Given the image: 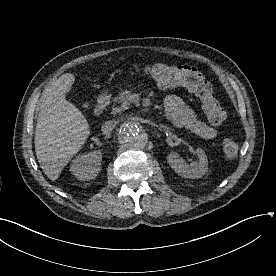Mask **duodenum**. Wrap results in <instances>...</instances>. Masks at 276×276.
<instances>
[{
    "instance_id": "obj_1",
    "label": "duodenum",
    "mask_w": 276,
    "mask_h": 276,
    "mask_svg": "<svg viewBox=\"0 0 276 276\" xmlns=\"http://www.w3.org/2000/svg\"><path fill=\"white\" fill-rule=\"evenodd\" d=\"M110 98L107 94H101L98 98V102L95 108V113L97 116L102 115L106 107L109 105Z\"/></svg>"
}]
</instances>
